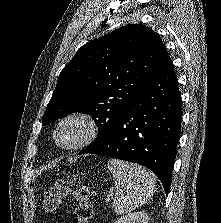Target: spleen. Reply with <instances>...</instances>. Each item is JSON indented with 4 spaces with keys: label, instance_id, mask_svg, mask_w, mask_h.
<instances>
[{
    "label": "spleen",
    "instance_id": "spleen-1",
    "mask_svg": "<svg viewBox=\"0 0 221 223\" xmlns=\"http://www.w3.org/2000/svg\"><path fill=\"white\" fill-rule=\"evenodd\" d=\"M107 166L116 188L112 207L117 215L138 208L153 196L156 181L146 168L117 159L109 160Z\"/></svg>",
    "mask_w": 221,
    "mask_h": 223
}]
</instances>
